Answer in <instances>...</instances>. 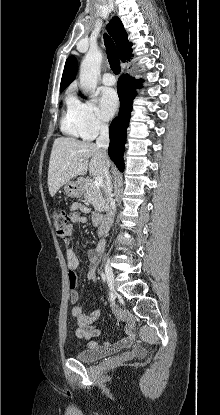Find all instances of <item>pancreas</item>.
I'll use <instances>...</instances> for the list:
<instances>
[{"instance_id":"cf45deb5","label":"pancreas","mask_w":220,"mask_h":415,"mask_svg":"<svg viewBox=\"0 0 220 415\" xmlns=\"http://www.w3.org/2000/svg\"><path fill=\"white\" fill-rule=\"evenodd\" d=\"M84 198L95 210L103 211L107 207L108 191L105 186L97 188L92 181L84 182Z\"/></svg>"}]
</instances>
